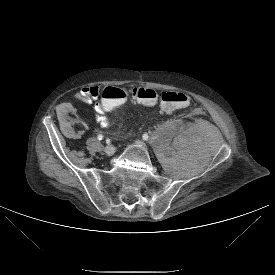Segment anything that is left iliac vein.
Listing matches in <instances>:
<instances>
[{
  "instance_id": "left-iliac-vein-1",
  "label": "left iliac vein",
  "mask_w": 275,
  "mask_h": 275,
  "mask_svg": "<svg viewBox=\"0 0 275 275\" xmlns=\"http://www.w3.org/2000/svg\"><path fill=\"white\" fill-rule=\"evenodd\" d=\"M136 143L139 145H144V143L141 140H137Z\"/></svg>"
}]
</instances>
